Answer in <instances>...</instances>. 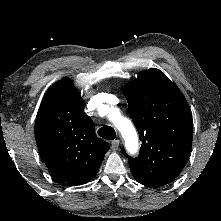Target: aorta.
I'll return each instance as SVG.
<instances>
[{
  "instance_id": "aorta-1",
  "label": "aorta",
  "mask_w": 221,
  "mask_h": 221,
  "mask_svg": "<svg viewBox=\"0 0 221 221\" xmlns=\"http://www.w3.org/2000/svg\"><path fill=\"white\" fill-rule=\"evenodd\" d=\"M114 124L117 127V129L127 138V139H132L135 144L137 139H136V132L135 129L127 118L124 117H117L114 120Z\"/></svg>"
}]
</instances>
